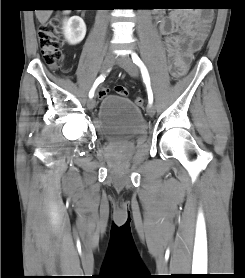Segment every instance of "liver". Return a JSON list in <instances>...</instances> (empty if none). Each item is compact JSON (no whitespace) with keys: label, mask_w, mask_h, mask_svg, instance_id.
I'll use <instances>...</instances> for the list:
<instances>
[{"label":"liver","mask_w":245,"mask_h":278,"mask_svg":"<svg viewBox=\"0 0 245 278\" xmlns=\"http://www.w3.org/2000/svg\"><path fill=\"white\" fill-rule=\"evenodd\" d=\"M35 14L39 22L43 25L50 18L52 10H36Z\"/></svg>","instance_id":"1"}]
</instances>
